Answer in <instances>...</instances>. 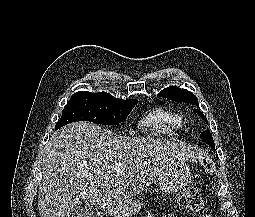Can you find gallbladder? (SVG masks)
Masks as SVG:
<instances>
[{"instance_id":"obj_1","label":"gallbladder","mask_w":255,"mask_h":217,"mask_svg":"<svg viewBox=\"0 0 255 217\" xmlns=\"http://www.w3.org/2000/svg\"><path fill=\"white\" fill-rule=\"evenodd\" d=\"M93 207L90 204L79 202L70 211L68 217H92Z\"/></svg>"}]
</instances>
